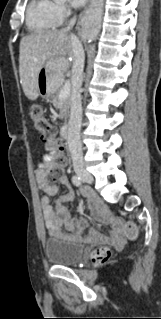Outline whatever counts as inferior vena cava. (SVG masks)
I'll return each instance as SVG.
<instances>
[{"mask_svg": "<svg viewBox=\"0 0 161 319\" xmlns=\"http://www.w3.org/2000/svg\"><path fill=\"white\" fill-rule=\"evenodd\" d=\"M73 18L63 31L68 32L74 25ZM74 62L72 66V79L74 88L71 95L70 119L68 127V147L71 153L73 167L75 170H83L82 143L80 130L82 123V103L79 89L82 85V74L84 69L85 54L81 42L75 35H71Z\"/></svg>", "mask_w": 161, "mask_h": 319, "instance_id": "602c4592", "label": "inferior vena cava"}]
</instances>
